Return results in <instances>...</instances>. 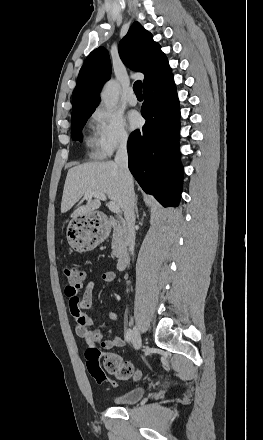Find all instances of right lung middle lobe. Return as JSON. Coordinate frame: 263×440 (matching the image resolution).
I'll return each mask as SVG.
<instances>
[{
	"label": "right lung middle lobe",
	"mask_w": 263,
	"mask_h": 440,
	"mask_svg": "<svg viewBox=\"0 0 263 440\" xmlns=\"http://www.w3.org/2000/svg\"><path fill=\"white\" fill-rule=\"evenodd\" d=\"M93 112L84 113L71 118V136L74 141L82 140V129Z\"/></svg>",
	"instance_id": "right-lung-middle-lobe-1"
}]
</instances>
